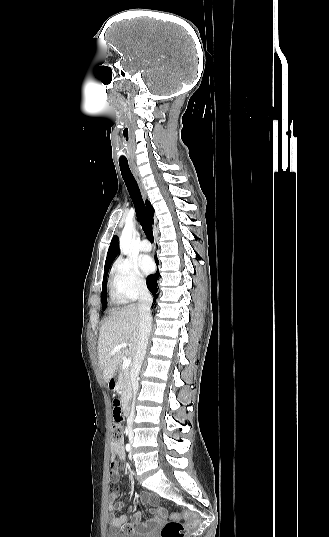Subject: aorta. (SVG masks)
Segmentation results:
<instances>
[{
    "label": "aorta",
    "mask_w": 329,
    "mask_h": 537,
    "mask_svg": "<svg viewBox=\"0 0 329 537\" xmlns=\"http://www.w3.org/2000/svg\"><path fill=\"white\" fill-rule=\"evenodd\" d=\"M133 231V224L127 223L120 236V250L124 255H127L130 251Z\"/></svg>",
    "instance_id": "obj_1"
}]
</instances>
